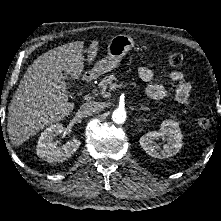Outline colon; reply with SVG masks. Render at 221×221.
<instances>
[{
	"label": "colon",
	"instance_id": "1",
	"mask_svg": "<svg viewBox=\"0 0 221 221\" xmlns=\"http://www.w3.org/2000/svg\"><path fill=\"white\" fill-rule=\"evenodd\" d=\"M165 58L167 63L171 66H180L184 61L183 55L178 52L169 53ZM196 123L202 129H208L211 126V121L206 117H199Z\"/></svg>",
	"mask_w": 221,
	"mask_h": 221
}]
</instances>
